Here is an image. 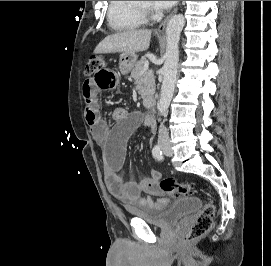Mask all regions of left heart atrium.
I'll return each instance as SVG.
<instances>
[{"instance_id":"left-heart-atrium-1","label":"left heart atrium","mask_w":271,"mask_h":266,"mask_svg":"<svg viewBox=\"0 0 271 266\" xmlns=\"http://www.w3.org/2000/svg\"><path fill=\"white\" fill-rule=\"evenodd\" d=\"M175 3L176 1H152L153 7L156 9H167Z\"/></svg>"}]
</instances>
